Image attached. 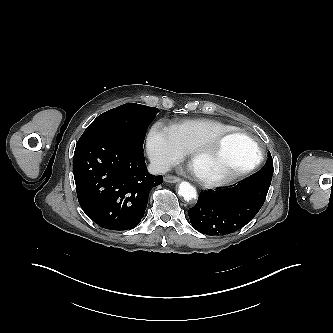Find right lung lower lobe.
<instances>
[{
  "label": "right lung lower lobe",
  "mask_w": 333,
  "mask_h": 333,
  "mask_svg": "<svg viewBox=\"0 0 333 333\" xmlns=\"http://www.w3.org/2000/svg\"><path fill=\"white\" fill-rule=\"evenodd\" d=\"M74 179L79 204L100 227H136L148 203L150 189L163 176L149 174L143 144L121 137H80L74 152Z\"/></svg>",
  "instance_id": "1"
}]
</instances>
